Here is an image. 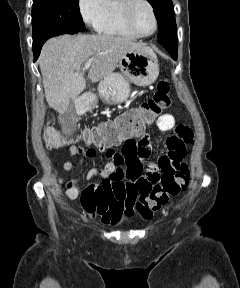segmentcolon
<instances>
[{"label": "colon", "instance_id": "obj_1", "mask_svg": "<svg viewBox=\"0 0 240 288\" xmlns=\"http://www.w3.org/2000/svg\"><path fill=\"white\" fill-rule=\"evenodd\" d=\"M170 93L169 82L166 79L160 80L150 99L139 107L123 113L114 121L85 132L82 140L88 144L113 141L142 131L170 107L172 103ZM44 140L49 148H59L67 143L54 128H48L44 132ZM189 177L188 166L183 162L180 163L174 173L164 174L160 183L153 186L149 193L139 196L135 204L137 212L145 219L152 217L171 198L178 196L181 191L187 188ZM73 188L72 183L68 184V191Z\"/></svg>", "mask_w": 240, "mask_h": 288}]
</instances>
